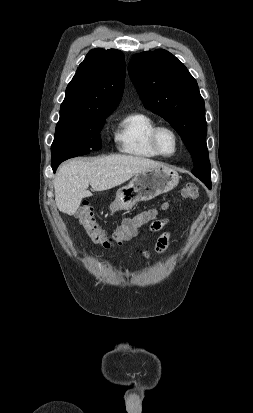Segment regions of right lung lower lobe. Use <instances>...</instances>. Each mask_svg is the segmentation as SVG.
<instances>
[{
	"label": "right lung lower lobe",
	"mask_w": 253,
	"mask_h": 413,
	"mask_svg": "<svg viewBox=\"0 0 253 413\" xmlns=\"http://www.w3.org/2000/svg\"><path fill=\"white\" fill-rule=\"evenodd\" d=\"M59 164H60V163H59ZM59 164H58V163L52 164V169H53L54 172L56 171V169H57V167H58Z\"/></svg>",
	"instance_id": "obj_1"
}]
</instances>
